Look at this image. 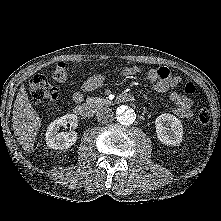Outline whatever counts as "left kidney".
<instances>
[{
  "instance_id": "obj_1",
  "label": "left kidney",
  "mask_w": 221,
  "mask_h": 221,
  "mask_svg": "<svg viewBox=\"0 0 221 221\" xmlns=\"http://www.w3.org/2000/svg\"><path fill=\"white\" fill-rule=\"evenodd\" d=\"M156 134L160 142L169 146H179L183 137L181 121L171 114H161L155 120Z\"/></svg>"
}]
</instances>
